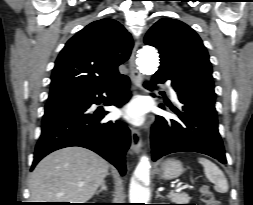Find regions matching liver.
I'll return each mask as SVG.
<instances>
[{"mask_svg":"<svg viewBox=\"0 0 253 205\" xmlns=\"http://www.w3.org/2000/svg\"><path fill=\"white\" fill-rule=\"evenodd\" d=\"M109 164L81 147L57 150L35 167L29 178L33 202L85 203L108 174Z\"/></svg>","mask_w":253,"mask_h":205,"instance_id":"obj_1","label":"liver"}]
</instances>
